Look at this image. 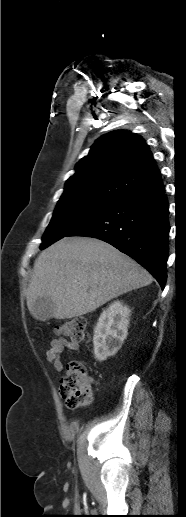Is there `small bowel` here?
<instances>
[{
  "label": "small bowel",
  "mask_w": 186,
  "mask_h": 517,
  "mask_svg": "<svg viewBox=\"0 0 186 517\" xmlns=\"http://www.w3.org/2000/svg\"><path fill=\"white\" fill-rule=\"evenodd\" d=\"M64 349H69L74 352H79V345L72 341H67L63 338L52 339L46 351V359L52 367L60 372L63 369L61 355Z\"/></svg>",
  "instance_id": "1"
}]
</instances>
